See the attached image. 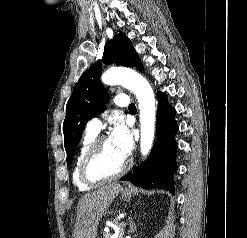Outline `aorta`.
I'll return each instance as SVG.
<instances>
[{"label":"aorta","mask_w":247,"mask_h":238,"mask_svg":"<svg viewBox=\"0 0 247 238\" xmlns=\"http://www.w3.org/2000/svg\"><path fill=\"white\" fill-rule=\"evenodd\" d=\"M101 80L105 85L120 84L136 95L140 111V149L142 156L146 157L152 148L156 120L155 98L149 82L136 71L126 68L110 69Z\"/></svg>","instance_id":"aorta-1"}]
</instances>
